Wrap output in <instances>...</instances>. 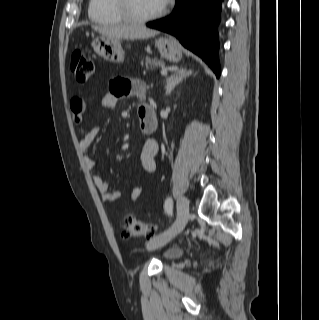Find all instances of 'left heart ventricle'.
Returning <instances> with one entry per match:
<instances>
[{"label":"left heart ventricle","mask_w":319,"mask_h":320,"mask_svg":"<svg viewBox=\"0 0 319 320\" xmlns=\"http://www.w3.org/2000/svg\"><path fill=\"white\" fill-rule=\"evenodd\" d=\"M132 8L138 15L147 16L162 7L159 5L158 0H132Z\"/></svg>","instance_id":"b2bd125f"}]
</instances>
